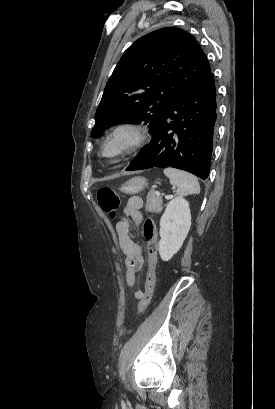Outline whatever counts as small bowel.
<instances>
[{"label": "small bowel", "mask_w": 275, "mask_h": 409, "mask_svg": "<svg viewBox=\"0 0 275 409\" xmlns=\"http://www.w3.org/2000/svg\"><path fill=\"white\" fill-rule=\"evenodd\" d=\"M143 200L139 196H132L123 207L121 220L116 224L119 247L124 255L125 281L128 287L135 285V273L143 267V250L130 235V218L139 223L142 220L141 208ZM142 290H135L134 297L140 298Z\"/></svg>", "instance_id": "c3829d8e"}]
</instances>
